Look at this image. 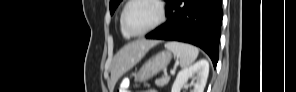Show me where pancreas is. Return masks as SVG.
Wrapping results in <instances>:
<instances>
[{"instance_id": "1", "label": "pancreas", "mask_w": 296, "mask_h": 92, "mask_svg": "<svg viewBox=\"0 0 296 92\" xmlns=\"http://www.w3.org/2000/svg\"><path fill=\"white\" fill-rule=\"evenodd\" d=\"M169 81H170V77L165 76V77H162V78H160V79H157V80L155 81V84H156L158 87H163V86L167 85Z\"/></svg>"}]
</instances>
